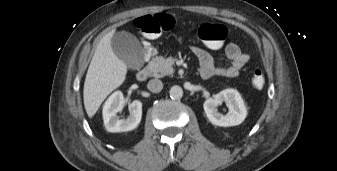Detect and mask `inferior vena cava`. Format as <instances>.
<instances>
[{
    "mask_svg": "<svg viewBox=\"0 0 337 171\" xmlns=\"http://www.w3.org/2000/svg\"><path fill=\"white\" fill-rule=\"evenodd\" d=\"M148 89L153 93H159L163 89V83L159 79H151L147 84Z\"/></svg>",
    "mask_w": 337,
    "mask_h": 171,
    "instance_id": "602c4592",
    "label": "inferior vena cava"
}]
</instances>
